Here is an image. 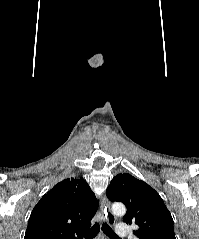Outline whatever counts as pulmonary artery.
Listing matches in <instances>:
<instances>
[{"label": "pulmonary artery", "instance_id": "e3ab8cb5", "mask_svg": "<svg viewBox=\"0 0 199 239\" xmlns=\"http://www.w3.org/2000/svg\"><path fill=\"white\" fill-rule=\"evenodd\" d=\"M115 231L120 238H126L129 235V228L127 224H117L115 226Z\"/></svg>", "mask_w": 199, "mask_h": 239}]
</instances>
